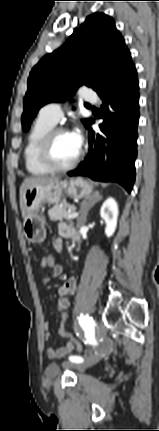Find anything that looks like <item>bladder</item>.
Returning <instances> with one entry per match:
<instances>
[{
    "mask_svg": "<svg viewBox=\"0 0 159 431\" xmlns=\"http://www.w3.org/2000/svg\"><path fill=\"white\" fill-rule=\"evenodd\" d=\"M47 371L50 375H56L60 371V367L57 364H51L48 366Z\"/></svg>",
    "mask_w": 159,
    "mask_h": 431,
    "instance_id": "1",
    "label": "bladder"
}]
</instances>
